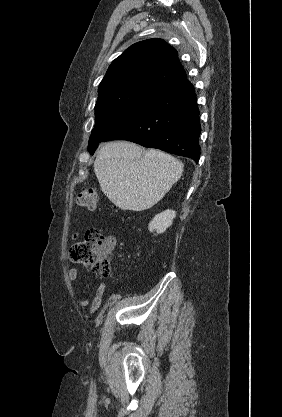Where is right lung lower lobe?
<instances>
[{"label":"right lung lower lobe","instance_id":"right-lung-lower-lobe-1","mask_svg":"<svg viewBox=\"0 0 282 417\" xmlns=\"http://www.w3.org/2000/svg\"><path fill=\"white\" fill-rule=\"evenodd\" d=\"M200 132L195 90L185 78L160 91L149 104L103 141L128 140L189 157L198 163Z\"/></svg>","mask_w":282,"mask_h":417}]
</instances>
